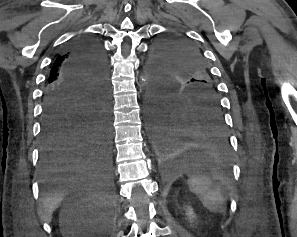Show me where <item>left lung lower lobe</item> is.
Listing matches in <instances>:
<instances>
[{"label": "left lung lower lobe", "instance_id": "0a47b994", "mask_svg": "<svg viewBox=\"0 0 297 237\" xmlns=\"http://www.w3.org/2000/svg\"><path fill=\"white\" fill-rule=\"evenodd\" d=\"M149 118L156 151L166 167L228 163L230 143L221 106L214 101L180 104L165 95L151 96Z\"/></svg>", "mask_w": 297, "mask_h": 237}]
</instances>
